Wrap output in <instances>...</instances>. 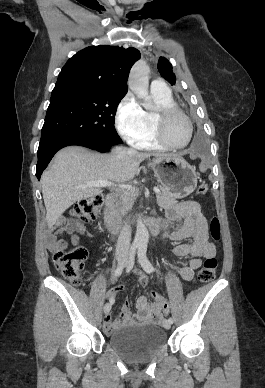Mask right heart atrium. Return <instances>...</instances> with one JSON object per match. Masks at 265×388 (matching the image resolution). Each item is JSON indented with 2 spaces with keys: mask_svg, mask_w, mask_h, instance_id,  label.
Returning <instances> with one entry per match:
<instances>
[{
  "mask_svg": "<svg viewBox=\"0 0 265 388\" xmlns=\"http://www.w3.org/2000/svg\"><path fill=\"white\" fill-rule=\"evenodd\" d=\"M117 123L121 135L128 141H134L144 133L145 111L132 94L126 95L121 101L117 111Z\"/></svg>",
  "mask_w": 265,
  "mask_h": 388,
  "instance_id": "d8ad5b80",
  "label": "right heart atrium"
}]
</instances>
